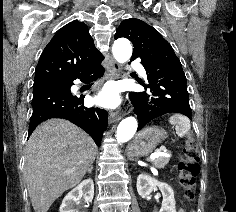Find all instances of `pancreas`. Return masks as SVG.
<instances>
[{
  "instance_id": "cf45deb5",
  "label": "pancreas",
  "mask_w": 236,
  "mask_h": 212,
  "mask_svg": "<svg viewBox=\"0 0 236 212\" xmlns=\"http://www.w3.org/2000/svg\"><path fill=\"white\" fill-rule=\"evenodd\" d=\"M152 162L156 168H164L165 165H167V163L169 162V157L160 156L158 158H155Z\"/></svg>"
}]
</instances>
